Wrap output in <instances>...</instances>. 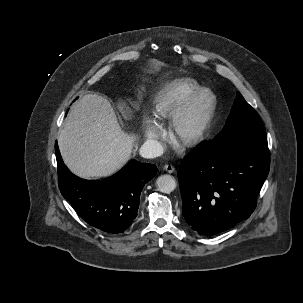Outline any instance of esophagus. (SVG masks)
Here are the masks:
<instances>
[{
	"label": "esophagus",
	"mask_w": 303,
	"mask_h": 303,
	"mask_svg": "<svg viewBox=\"0 0 303 303\" xmlns=\"http://www.w3.org/2000/svg\"><path fill=\"white\" fill-rule=\"evenodd\" d=\"M164 170L167 171L168 173H173L175 171L174 166L166 164L164 165Z\"/></svg>",
	"instance_id": "obj_1"
}]
</instances>
